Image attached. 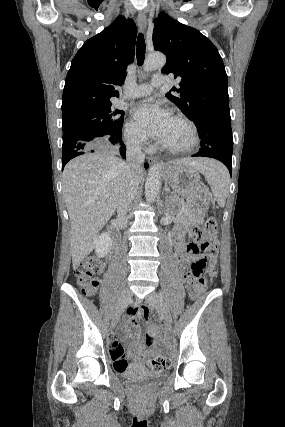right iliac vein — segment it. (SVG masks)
<instances>
[{"instance_id":"obj_1","label":"right iliac vein","mask_w":285,"mask_h":427,"mask_svg":"<svg viewBox=\"0 0 285 427\" xmlns=\"http://www.w3.org/2000/svg\"><path fill=\"white\" fill-rule=\"evenodd\" d=\"M131 295H132V293H131L130 289H128V288L124 289V291L122 292L120 306L118 307V309L115 312L113 319H112V326L113 327L116 325V323L120 319L121 314L123 313L124 309L127 307L128 303L131 299Z\"/></svg>"}]
</instances>
